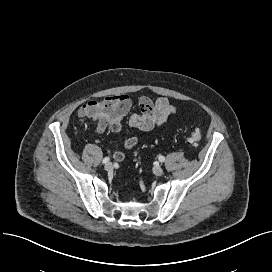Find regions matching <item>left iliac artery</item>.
<instances>
[{
	"mask_svg": "<svg viewBox=\"0 0 272 272\" xmlns=\"http://www.w3.org/2000/svg\"><path fill=\"white\" fill-rule=\"evenodd\" d=\"M159 161H160V162H164V161H165L164 156H159Z\"/></svg>",
	"mask_w": 272,
	"mask_h": 272,
	"instance_id": "left-iliac-artery-1",
	"label": "left iliac artery"
}]
</instances>
